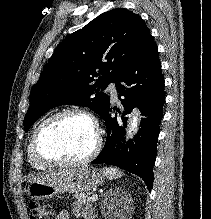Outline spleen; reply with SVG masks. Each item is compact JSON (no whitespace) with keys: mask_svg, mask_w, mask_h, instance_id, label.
<instances>
[{"mask_svg":"<svg viewBox=\"0 0 211 219\" xmlns=\"http://www.w3.org/2000/svg\"><path fill=\"white\" fill-rule=\"evenodd\" d=\"M105 175L110 179H117L120 178L123 174L117 168L113 167H104L103 168Z\"/></svg>","mask_w":211,"mask_h":219,"instance_id":"obj_1","label":"spleen"}]
</instances>
